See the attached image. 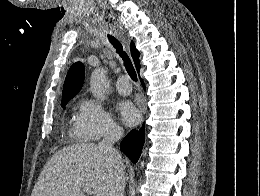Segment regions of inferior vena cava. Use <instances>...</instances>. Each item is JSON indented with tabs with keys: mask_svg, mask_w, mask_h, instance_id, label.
Instances as JSON below:
<instances>
[{
	"mask_svg": "<svg viewBox=\"0 0 260 196\" xmlns=\"http://www.w3.org/2000/svg\"><path fill=\"white\" fill-rule=\"evenodd\" d=\"M121 136L122 134L118 132V130H110V132L104 136V140L98 144V150H103L104 154H112L118 168L109 196H124L125 174L123 170V158H121L119 152L113 148L114 142L120 140Z\"/></svg>",
	"mask_w": 260,
	"mask_h": 196,
	"instance_id": "obj_1",
	"label": "inferior vena cava"
}]
</instances>
